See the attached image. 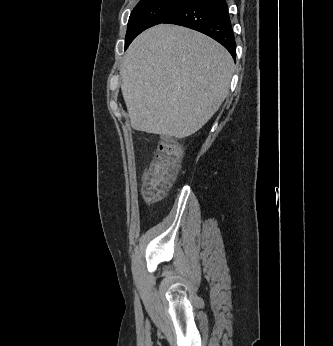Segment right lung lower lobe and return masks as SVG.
Here are the masks:
<instances>
[{
	"instance_id": "obj_1",
	"label": "right lung lower lobe",
	"mask_w": 333,
	"mask_h": 346,
	"mask_svg": "<svg viewBox=\"0 0 333 346\" xmlns=\"http://www.w3.org/2000/svg\"><path fill=\"white\" fill-rule=\"evenodd\" d=\"M163 23L204 33L221 43L236 58V42L226 0H185Z\"/></svg>"
}]
</instances>
